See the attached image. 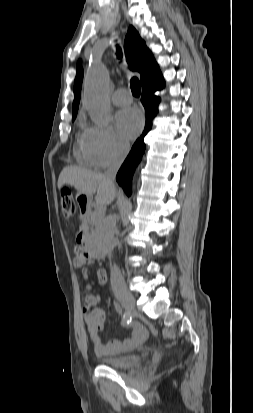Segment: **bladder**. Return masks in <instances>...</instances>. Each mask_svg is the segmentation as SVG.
Listing matches in <instances>:
<instances>
[{
    "mask_svg": "<svg viewBox=\"0 0 253 413\" xmlns=\"http://www.w3.org/2000/svg\"><path fill=\"white\" fill-rule=\"evenodd\" d=\"M141 360L142 356L140 354H126L113 357H104L100 359L103 365L117 369L137 366L140 364Z\"/></svg>",
    "mask_w": 253,
    "mask_h": 413,
    "instance_id": "31cf9c89",
    "label": "bladder"
}]
</instances>
